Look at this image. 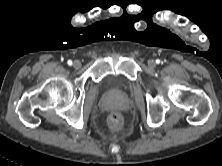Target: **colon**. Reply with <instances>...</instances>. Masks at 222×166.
I'll use <instances>...</instances> for the list:
<instances>
[{"instance_id":"obj_1","label":"colon","mask_w":222,"mask_h":166,"mask_svg":"<svg viewBox=\"0 0 222 166\" xmlns=\"http://www.w3.org/2000/svg\"><path fill=\"white\" fill-rule=\"evenodd\" d=\"M108 124L111 129L119 130L123 125V119L119 114L114 113L109 116Z\"/></svg>"}]
</instances>
